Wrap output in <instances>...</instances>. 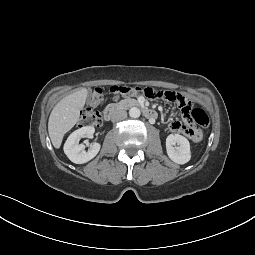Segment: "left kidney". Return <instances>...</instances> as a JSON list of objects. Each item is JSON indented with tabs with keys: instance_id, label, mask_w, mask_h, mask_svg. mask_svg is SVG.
<instances>
[{
	"instance_id": "1",
	"label": "left kidney",
	"mask_w": 255,
	"mask_h": 255,
	"mask_svg": "<svg viewBox=\"0 0 255 255\" xmlns=\"http://www.w3.org/2000/svg\"><path fill=\"white\" fill-rule=\"evenodd\" d=\"M176 144L178 145L177 147L175 146ZM166 151L169 158L177 164H185L191 159L190 143L187 138L179 134L167 136Z\"/></svg>"
}]
</instances>
